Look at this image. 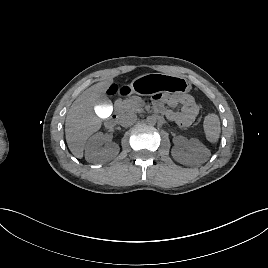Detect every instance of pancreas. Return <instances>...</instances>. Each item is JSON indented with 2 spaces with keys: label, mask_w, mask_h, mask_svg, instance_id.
<instances>
[{
  "label": "pancreas",
  "mask_w": 268,
  "mask_h": 268,
  "mask_svg": "<svg viewBox=\"0 0 268 268\" xmlns=\"http://www.w3.org/2000/svg\"><path fill=\"white\" fill-rule=\"evenodd\" d=\"M144 104L140 97L132 96L129 99L118 101L115 107L119 113L124 114L127 112H140Z\"/></svg>",
  "instance_id": "obj_1"
}]
</instances>
